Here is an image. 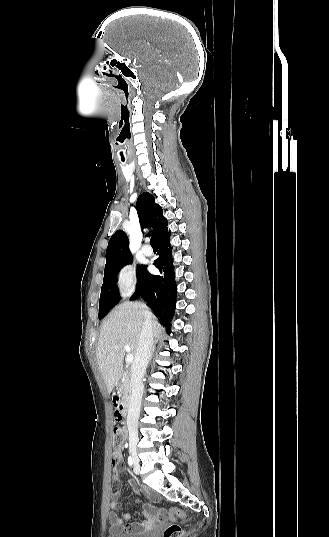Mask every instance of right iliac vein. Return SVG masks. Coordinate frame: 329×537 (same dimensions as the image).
Segmentation results:
<instances>
[{
	"label": "right iliac vein",
	"mask_w": 329,
	"mask_h": 537,
	"mask_svg": "<svg viewBox=\"0 0 329 537\" xmlns=\"http://www.w3.org/2000/svg\"><path fill=\"white\" fill-rule=\"evenodd\" d=\"M130 452H131V454L133 456L135 467L139 468V460H138L137 454H136V439L135 438L130 439Z\"/></svg>",
	"instance_id": "right-iliac-vein-1"
}]
</instances>
